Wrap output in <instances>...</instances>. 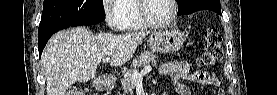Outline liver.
<instances>
[{"mask_svg":"<svg viewBox=\"0 0 277 95\" xmlns=\"http://www.w3.org/2000/svg\"><path fill=\"white\" fill-rule=\"evenodd\" d=\"M146 35L147 32L93 35L86 27L56 33L41 56L47 95H65L76 81L95 78L98 64L106 57L111 58V66L125 64Z\"/></svg>","mask_w":277,"mask_h":95,"instance_id":"obj_1","label":"liver"}]
</instances>
